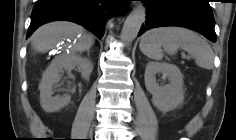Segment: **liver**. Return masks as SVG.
I'll return each mask as SVG.
<instances>
[{
    "label": "liver",
    "instance_id": "6515ba94",
    "mask_svg": "<svg viewBox=\"0 0 236 140\" xmlns=\"http://www.w3.org/2000/svg\"><path fill=\"white\" fill-rule=\"evenodd\" d=\"M62 39H77L73 52L88 50L94 44V37L80 25L57 21L45 24L34 32L31 37L32 48L36 52L45 53L53 49Z\"/></svg>",
    "mask_w": 236,
    "mask_h": 140
}]
</instances>
